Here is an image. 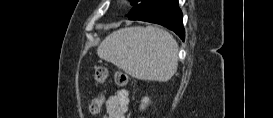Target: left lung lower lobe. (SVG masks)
Wrapping results in <instances>:
<instances>
[{
	"label": "left lung lower lobe",
	"instance_id": "0a47b994",
	"mask_svg": "<svg viewBox=\"0 0 273 118\" xmlns=\"http://www.w3.org/2000/svg\"><path fill=\"white\" fill-rule=\"evenodd\" d=\"M183 15L178 6V0H167L156 12L144 17L141 21L159 24L174 31L183 41Z\"/></svg>",
	"mask_w": 273,
	"mask_h": 118
}]
</instances>
